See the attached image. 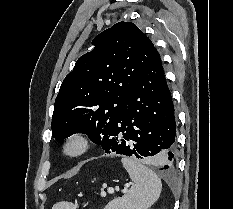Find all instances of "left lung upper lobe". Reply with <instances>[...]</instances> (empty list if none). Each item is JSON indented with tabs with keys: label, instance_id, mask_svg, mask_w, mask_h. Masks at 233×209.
<instances>
[{
	"label": "left lung upper lobe",
	"instance_id": "obj_1",
	"mask_svg": "<svg viewBox=\"0 0 233 209\" xmlns=\"http://www.w3.org/2000/svg\"><path fill=\"white\" fill-rule=\"evenodd\" d=\"M92 44L93 50L77 60L61 84L51 123L55 139L85 133L102 145L137 79L157 54L151 40L131 22L116 23Z\"/></svg>",
	"mask_w": 233,
	"mask_h": 209
}]
</instances>
